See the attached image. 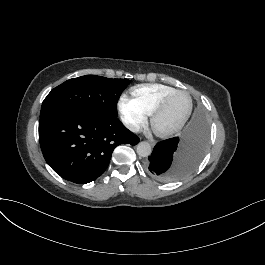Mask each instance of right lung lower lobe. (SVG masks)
<instances>
[{"instance_id": "98d812e1", "label": "right lung lower lobe", "mask_w": 265, "mask_h": 265, "mask_svg": "<svg viewBox=\"0 0 265 265\" xmlns=\"http://www.w3.org/2000/svg\"><path fill=\"white\" fill-rule=\"evenodd\" d=\"M39 141L46 162L58 175L85 184L106 170L115 147L136 145L139 138L118 118L63 109L40 118Z\"/></svg>"}]
</instances>
